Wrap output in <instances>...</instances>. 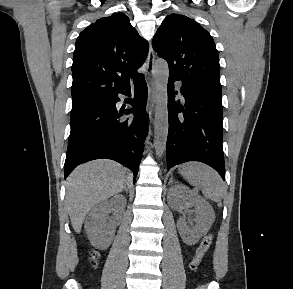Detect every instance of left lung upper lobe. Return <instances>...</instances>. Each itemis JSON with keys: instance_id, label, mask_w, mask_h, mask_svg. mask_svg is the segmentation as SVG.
Listing matches in <instances>:
<instances>
[{"instance_id": "obj_1", "label": "left lung upper lobe", "mask_w": 293, "mask_h": 289, "mask_svg": "<svg viewBox=\"0 0 293 289\" xmlns=\"http://www.w3.org/2000/svg\"><path fill=\"white\" fill-rule=\"evenodd\" d=\"M153 48L169 65V75L221 92L218 51L201 25L184 15L167 16L153 38Z\"/></svg>"}]
</instances>
